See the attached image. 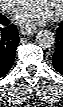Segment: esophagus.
Masks as SVG:
<instances>
[{
    "instance_id": "esophagus-1",
    "label": "esophagus",
    "mask_w": 63,
    "mask_h": 107,
    "mask_svg": "<svg viewBox=\"0 0 63 107\" xmlns=\"http://www.w3.org/2000/svg\"><path fill=\"white\" fill-rule=\"evenodd\" d=\"M20 33L23 35H33L34 33H36V30L30 28H23L20 30Z\"/></svg>"
}]
</instances>
